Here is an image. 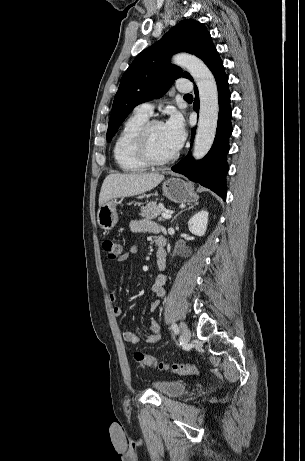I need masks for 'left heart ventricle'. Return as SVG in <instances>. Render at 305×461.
Masks as SVG:
<instances>
[{
    "label": "left heart ventricle",
    "mask_w": 305,
    "mask_h": 461,
    "mask_svg": "<svg viewBox=\"0 0 305 461\" xmlns=\"http://www.w3.org/2000/svg\"><path fill=\"white\" fill-rule=\"evenodd\" d=\"M149 149L152 156L157 159L166 158L175 152L166 138L164 125H158L152 129L149 138Z\"/></svg>",
    "instance_id": "left-heart-ventricle-1"
}]
</instances>
